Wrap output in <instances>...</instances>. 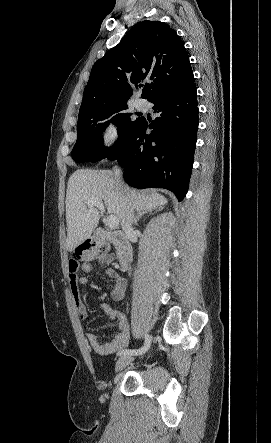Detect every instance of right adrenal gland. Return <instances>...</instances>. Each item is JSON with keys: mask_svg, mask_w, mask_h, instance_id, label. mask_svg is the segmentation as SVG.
Listing matches in <instances>:
<instances>
[{"mask_svg": "<svg viewBox=\"0 0 271 443\" xmlns=\"http://www.w3.org/2000/svg\"><path fill=\"white\" fill-rule=\"evenodd\" d=\"M152 212H154V210H139V212H137V216H135L133 220V225H137L140 218H143V216H146V214H152ZM155 212H158V210H155Z\"/></svg>", "mask_w": 271, "mask_h": 443, "instance_id": "right-adrenal-gland-1", "label": "right adrenal gland"}]
</instances>
